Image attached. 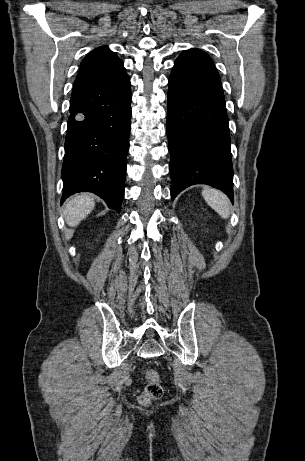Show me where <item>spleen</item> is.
<instances>
[{"instance_id":"spleen-1","label":"spleen","mask_w":305,"mask_h":461,"mask_svg":"<svg viewBox=\"0 0 305 461\" xmlns=\"http://www.w3.org/2000/svg\"><path fill=\"white\" fill-rule=\"evenodd\" d=\"M202 196L207 204L214 209L222 218L226 219L230 215V206L227 196L214 188L202 190Z\"/></svg>"}]
</instances>
